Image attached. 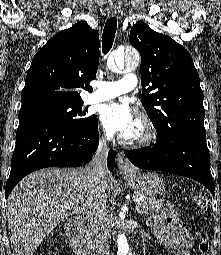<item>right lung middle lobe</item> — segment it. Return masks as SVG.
Wrapping results in <instances>:
<instances>
[{
	"label": "right lung middle lobe",
	"mask_w": 221,
	"mask_h": 255,
	"mask_svg": "<svg viewBox=\"0 0 221 255\" xmlns=\"http://www.w3.org/2000/svg\"><path fill=\"white\" fill-rule=\"evenodd\" d=\"M83 101L75 103H45L20 109L19 119L46 120L69 129H84L90 126L96 116L84 117Z\"/></svg>",
	"instance_id": "1"
}]
</instances>
